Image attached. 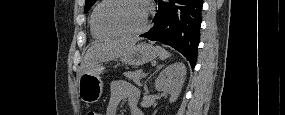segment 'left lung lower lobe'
Instances as JSON below:
<instances>
[{
	"mask_svg": "<svg viewBox=\"0 0 285 115\" xmlns=\"http://www.w3.org/2000/svg\"><path fill=\"white\" fill-rule=\"evenodd\" d=\"M158 5L154 26L140 35L173 47L194 68L200 42L202 0H155Z\"/></svg>",
	"mask_w": 285,
	"mask_h": 115,
	"instance_id": "1",
	"label": "left lung lower lobe"
}]
</instances>
